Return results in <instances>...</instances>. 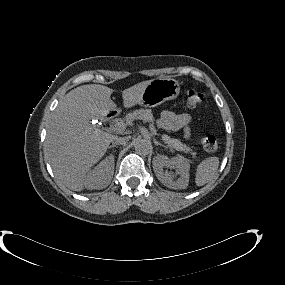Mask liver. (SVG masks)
<instances>
[{
    "instance_id": "1",
    "label": "liver",
    "mask_w": 285,
    "mask_h": 285,
    "mask_svg": "<svg viewBox=\"0 0 285 285\" xmlns=\"http://www.w3.org/2000/svg\"><path fill=\"white\" fill-rule=\"evenodd\" d=\"M151 80L122 91L123 106L140 103ZM113 89L99 84L79 86L59 102L48 125L44 152L56 178L73 191L85 186L91 167L105 154L114 135L96 129L92 119L103 120L117 108L111 100Z\"/></svg>"
}]
</instances>
